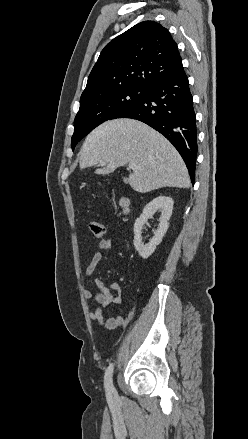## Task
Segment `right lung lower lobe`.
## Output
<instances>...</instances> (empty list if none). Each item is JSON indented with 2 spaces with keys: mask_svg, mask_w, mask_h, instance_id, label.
<instances>
[{
  "mask_svg": "<svg viewBox=\"0 0 248 439\" xmlns=\"http://www.w3.org/2000/svg\"><path fill=\"white\" fill-rule=\"evenodd\" d=\"M119 118L137 119L163 134L182 156L194 184L196 115L183 68L152 84L141 99Z\"/></svg>",
  "mask_w": 248,
  "mask_h": 439,
  "instance_id": "obj_1",
  "label": "right lung lower lobe"
}]
</instances>
